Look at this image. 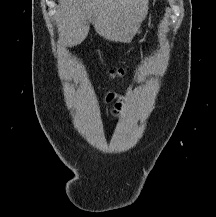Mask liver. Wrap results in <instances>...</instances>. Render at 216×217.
I'll return each instance as SVG.
<instances>
[{
    "label": "liver",
    "mask_w": 216,
    "mask_h": 217,
    "mask_svg": "<svg viewBox=\"0 0 216 217\" xmlns=\"http://www.w3.org/2000/svg\"><path fill=\"white\" fill-rule=\"evenodd\" d=\"M59 36L74 46L85 40L93 24L107 40L126 43L148 11V0H59Z\"/></svg>",
    "instance_id": "1"
}]
</instances>
